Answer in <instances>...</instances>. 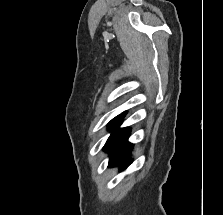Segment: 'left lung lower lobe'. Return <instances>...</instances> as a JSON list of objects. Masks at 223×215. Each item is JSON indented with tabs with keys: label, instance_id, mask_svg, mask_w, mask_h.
Returning a JSON list of instances; mask_svg holds the SVG:
<instances>
[{
	"label": "left lung lower lobe",
	"instance_id": "1",
	"mask_svg": "<svg viewBox=\"0 0 223 215\" xmlns=\"http://www.w3.org/2000/svg\"><path fill=\"white\" fill-rule=\"evenodd\" d=\"M129 135V128H116L111 133L104 146V150L110 152L109 167L121 165L123 170L129 165L130 162L127 160V157L130 155L133 147L131 143L127 142Z\"/></svg>",
	"mask_w": 223,
	"mask_h": 215
}]
</instances>
